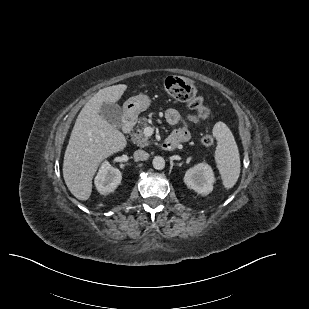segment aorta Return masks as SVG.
<instances>
[{
	"mask_svg": "<svg viewBox=\"0 0 309 309\" xmlns=\"http://www.w3.org/2000/svg\"><path fill=\"white\" fill-rule=\"evenodd\" d=\"M152 164L156 170H162L165 167V160L163 157L157 156L153 159Z\"/></svg>",
	"mask_w": 309,
	"mask_h": 309,
	"instance_id": "762f6f07",
	"label": "aorta"
}]
</instances>
